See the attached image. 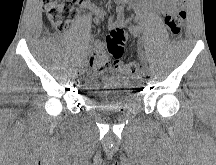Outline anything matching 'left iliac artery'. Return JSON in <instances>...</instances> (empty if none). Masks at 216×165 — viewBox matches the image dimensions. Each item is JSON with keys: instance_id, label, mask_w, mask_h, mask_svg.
Listing matches in <instances>:
<instances>
[{"instance_id": "obj_1", "label": "left iliac artery", "mask_w": 216, "mask_h": 165, "mask_svg": "<svg viewBox=\"0 0 216 165\" xmlns=\"http://www.w3.org/2000/svg\"><path fill=\"white\" fill-rule=\"evenodd\" d=\"M140 56H141V58H142L143 64L145 65V66H144L145 68H144L143 70L146 72V71L148 70L147 68L149 67V66H148V65H149V64H148V63H149V59L146 58V56L144 55V52H143V51H140Z\"/></svg>"}]
</instances>
